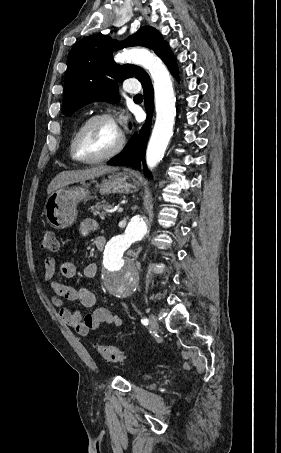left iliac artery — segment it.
<instances>
[{
  "label": "left iliac artery",
  "mask_w": 281,
  "mask_h": 453,
  "mask_svg": "<svg viewBox=\"0 0 281 453\" xmlns=\"http://www.w3.org/2000/svg\"><path fill=\"white\" fill-rule=\"evenodd\" d=\"M141 322L144 324V325H148V319H144V320H141Z\"/></svg>",
  "instance_id": "left-iliac-artery-1"
}]
</instances>
